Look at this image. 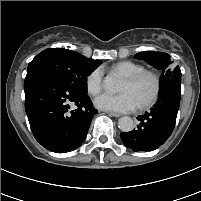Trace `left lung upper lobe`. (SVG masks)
<instances>
[{
  "mask_svg": "<svg viewBox=\"0 0 201 201\" xmlns=\"http://www.w3.org/2000/svg\"><path fill=\"white\" fill-rule=\"evenodd\" d=\"M135 58L145 60L156 69L162 70L160 78V93L171 85L181 84V70L179 66H173L170 55L163 52L146 51L135 55Z\"/></svg>",
  "mask_w": 201,
  "mask_h": 201,
  "instance_id": "1",
  "label": "left lung upper lobe"
}]
</instances>
